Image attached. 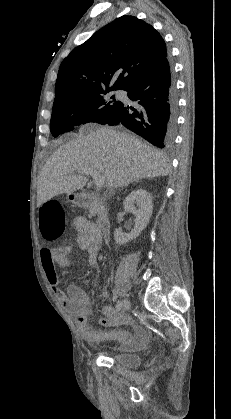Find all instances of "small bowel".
Wrapping results in <instances>:
<instances>
[{
    "instance_id": "c3829d8e",
    "label": "small bowel",
    "mask_w": 231,
    "mask_h": 419,
    "mask_svg": "<svg viewBox=\"0 0 231 419\" xmlns=\"http://www.w3.org/2000/svg\"><path fill=\"white\" fill-rule=\"evenodd\" d=\"M76 229V247L86 252L88 266L97 269V254L102 241L97 226L83 216L74 219ZM70 246H59L52 249H43L41 261L46 278L52 291L58 297L63 307L77 318L78 330L81 336L89 343L95 344L101 341H114L124 350L140 349L145 344L146 333L144 329L135 324L129 316L118 315L110 307H104L100 325L107 328L105 331H97L88 327L86 318L90 312V301L84 289L77 284H70L66 292L60 288L59 280L55 271V264L71 266L74 264ZM105 294V293H104ZM132 327V330L127 329Z\"/></svg>"
}]
</instances>
